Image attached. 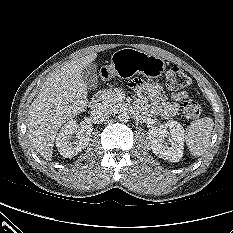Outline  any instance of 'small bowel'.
<instances>
[{
    "label": "small bowel",
    "instance_id": "obj_1",
    "mask_svg": "<svg viewBox=\"0 0 233 233\" xmlns=\"http://www.w3.org/2000/svg\"><path fill=\"white\" fill-rule=\"evenodd\" d=\"M130 86L137 93L136 106L143 111H150L165 118L173 117L178 111L179 103L188 98L186 91H176L166 96L158 83L136 79ZM144 94L147 98L144 97Z\"/></svg>",
    "mask_w": 233,
    "mask_h": 233
}]
</instances>
